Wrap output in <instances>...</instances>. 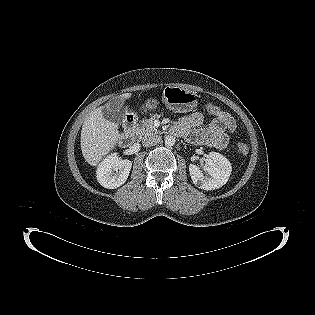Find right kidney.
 Segmentation results:
<instances>
[{
    "label": "right kidney",
    "instance_id": "ca27d5eb",
    "mask_svg": "<svg viewBox=\"0 0 315 315\" xmlns=\"http://www.w3.org/2000/svg\"><path fill=\"white\" fill-rule=\"evenodd\" d=\"M130 160H120L116 153L106 157L97 168V180L104 188L114 189L123 185L130 173Z\"/></svg>",
    "mask_w": 315,
    "mask_h": 315
}]
</instances>
